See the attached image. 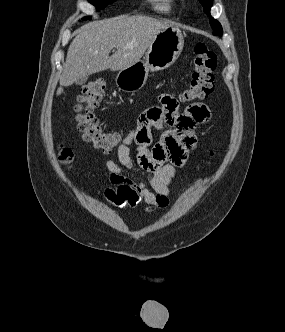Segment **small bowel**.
Instances as JSON below:
<instances>
[{"mask_svg": "<svg viewBox=\"0 0 285 332\" xmlns=\"http://www.w3.org/2000/svg\"><path fill=\"white\" fill-rule=\"evenodd\" d=\"M179 101V96L165 95L160 97V106H147L135 126L123 137L117 149L118 162L106 161L109 181L115 186L104 191L108 202L128 208L145 205L147 211L167 206L177 167L196 147L194 130L197 125L209 122L211 117L205 104L195 103L184 110ZM153 129L154 133H163L155 144ZM134 143L137 145L135 160L131 155ZM136 168L148 175L147 182L134 181L124 172Z\"/></svg>", "mask_w": 285, "mask_h": 332, "instance_id": "small-bowel-1", "label": "small bowel"}]
</instances>
